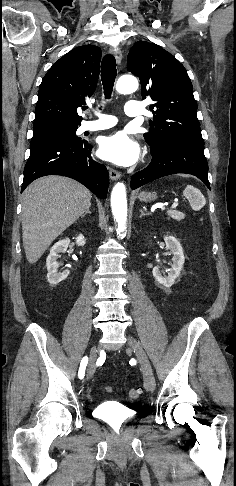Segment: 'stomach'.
<instances>
[{"mask_svg": "<svg viewBox=\"0 0 236 486\" xmlns=\"http://www.w3.org/2000/svg\"><path fill=\"white\" fill-rule=\"evenodd\" d=\"M138 198L142 202H151L157 199V194L155 192H141Z\"/></svg>", "mask_w": 236, "mask_h": 486, "instance_id": "1", "label": "stomach"}]
</instances>
